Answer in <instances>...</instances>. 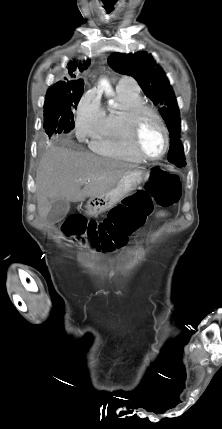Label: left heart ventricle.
Returning a JSON list of instances; mask_svg holds the SVG:
<instances>
[{
	"label": "left heart ventricle",
	"instance_id": "left-heart-ventricle-1",
	"mask_svg": "<svg viewBox=\"0 0 222 429\" xmlns=\"http://www.w3.org/2000/svg\"><path fill=\"white\" fill-rule=\"evenodd\" d=\"M139 144L149 156L159 155L165 146L164 136L158 121L151 115L142 117L139 126Z\"/></svg>",
	"mask_w": 222,
	"mask_h": 429
}]
</instances>
